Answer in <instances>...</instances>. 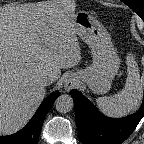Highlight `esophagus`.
Masks as SVG:
<instances>
[{"label":"esophagus","mask_w":144,"mask_h":144,"mask_svg":"<svg viewBox=\"0 0 144 144\" xmlns=\"http://www.w3.org/2000/svg\"><path fill=\"white\" fill-rule=\"evenodd\" d=\"M74 87V82L72 80H67L64 83V88L66 91H70Z\"/></svg>","instance_id":"1"}]
</instances>
